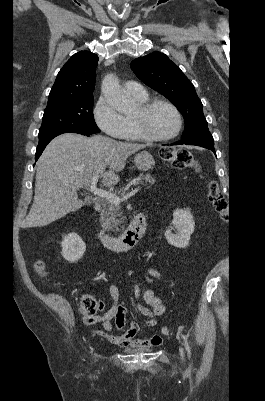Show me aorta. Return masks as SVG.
Instances as JSON below:
<instances>
[{
  "label": "aorta",
  "instance_id": "762f6f07",
  "mask_svg": "<svg viewBox=\"0 0 265 401\" xmlns=\"http://www.w3.org/2000/svg\"><path fill=\"white\" fill-rule=\"evenodd\" d=\"M101 90L109 104H112L119 112H126L128 100L123 94L117 76L106 74L102 80Z\"/></svg>",
  "mask_w": 265,
  "mask_h": 401
}]
</instances>
